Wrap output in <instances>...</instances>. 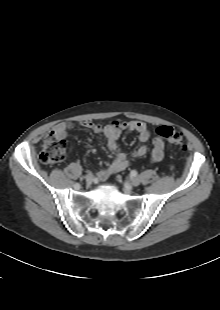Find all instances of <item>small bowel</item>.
I'll return each mask as SVG.
<instances>
[{"label": "small bowel", "instance_id": "1", "mask_svg": "<svg viewBox=\"0 0 220 310\" xmlns=\"http://www.w3.org/2000/svg\"><path fill=\"white\" fill-rule=\"evenodd\" d=\"M80 125L95 133L102 134L106 139L108 149L113 154L110 164L97 173L100 180H106L110 175L125 170L130 165V157H142L148 152L147 143L151 139V133L146 123L142 121H113L105 125L96 124L91 121H81ZM73 128L74 123L61 122L54 127V132L64 139ZM125 130L136 132L138 134V145L130 154L123 151L117 143L122 132ZM152 146L153 148L150 156L151 161H161L164 157V139L159 136L153 138Z\"/></svg>", "mask_w": 220, "mask_h": 310}]
</instances>
